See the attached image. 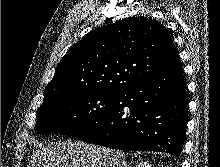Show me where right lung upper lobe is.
<instances>
[{
  "label": "right lung upper lobe",
  "mask_w": 220,
  "mask_h": 167,
  "mask_svg": "<svg viewBox=\"0 0 220 167\" xmlns=\"http://www.w3.org/2000/svg\"><path fill=\"white\" fill-rule=\"evenodd\" d=\"M181 67L167 28L145 17L99 27L71 46L44 91V101L79 89L120 92Z\"/></svg>",
  "instance_id": "cb5924a9"
}]
</instances>
